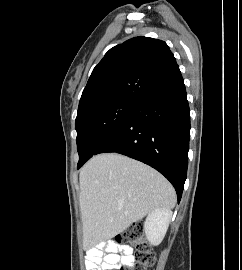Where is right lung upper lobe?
<instances>
[{
    "mask_svg": "<svg viewBox=\"0 0 242 270\" xmlns=\"http://www.w3.org/2000/svg\"><path fill=\"white\" fill-rule=\"evenodd\" d=\"M181 74L168 45L135 37L111 48L93 69L78 114L117 100L139 101Z\"/></svg>",
    "mask_w": 242,
    "mask_h": 270,
    "instance_id": "cb5924a9",
    "label": "right lung upper lobe"
}]
</instances>
